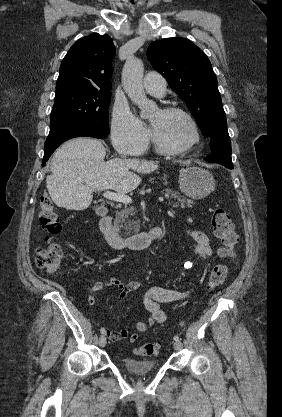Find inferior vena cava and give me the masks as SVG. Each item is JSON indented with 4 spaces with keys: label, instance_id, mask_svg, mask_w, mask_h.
I'll list each match as a JSON object with an SVG mask.
<instances>
[{
    "label": "inferior vena cava",
    "instance_id": "1",
    "mask_svg": "<svg viewBox=\"0 0 282 417\" xmlns=\"http://www.w3.org/2000/svg\"><path fill=\"white\" fill-rule=\"evenodd\" d=\"M117 152H119V154H124V152H122V150H120V148H118Z\"/></svg>",
    "mask_w": 282,
    "mask_h": 417
}]
</instances>
